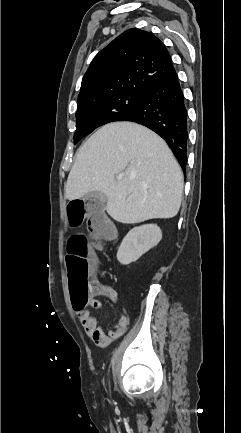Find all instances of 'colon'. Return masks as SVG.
I'll return each mask as SVG.
<instances>
[{"mask_svg":"<svg viewBox=\"0 0 241 433\" xmlns=\"http://www.w3.org/2000/svg\"><path fill=\"white\" fill-rule=\"evenodd\" d=\"M67 209L70 215L66 224L68 229H79L87 217L89 230L97 240L110 236L111 224L106 215L108 205H103L102 200L79 198L77 202H68ZM65 265L67 272H70L72 310L86 312L89 301L95 297V292L101 289V283L93 277L94 255L92 245L85 236L75 235L71 238Z\"/></svg>","mask_w":241,"mask_h":433,"instance_id":"obj_1","label":"colon"}]
</instances>
